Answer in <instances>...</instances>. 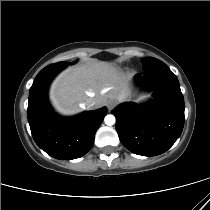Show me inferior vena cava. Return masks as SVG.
I'll return each instance as SVG.
<instances>
[{"mask_svg": "<svg viewBox=\"0 0 210 210\" xmlns=\"http://www.w3.org/2000/svg\"><path fill=\"white\" fill-rule=\"evenodd\" d=\"M96 104V101L93 99V98H88L85 102H84V105L90 109V108H93Z\"/></svg>", "mask_w": 210, "mask_h": 210, "instance_id": "1", "label": "inferior vena cava"}]
</instances>
